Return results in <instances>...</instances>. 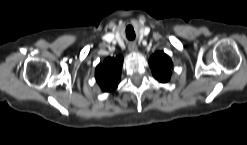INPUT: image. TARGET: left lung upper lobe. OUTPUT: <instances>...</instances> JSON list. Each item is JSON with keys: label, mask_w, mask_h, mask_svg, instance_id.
<instances>
[{"label": "left lung upper lobe", "mask_w": 247, "mask_h": 145, "mask_svg": "<svg viewBox=\"0 0 247 145\" xmlns=\"http://www.w3.org/2000/svg\"><path fill=\"white\" fill-rule=\"evenodd\" d=\"M154 77L162 83L168 82L171 76L172 61L164 52H155L149 59Z\"/></svg>", "instance_id": "1"}]
</instances>
